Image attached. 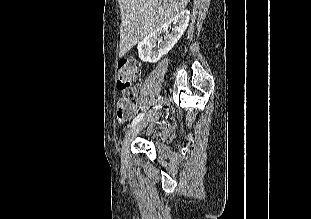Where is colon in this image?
<instances>
[{"mask_svg":"<svg viewBox=\"0 0 311 219\" xmlns=\"http://www.w3.org/2000/svg\"><path fill=\"white\" fill-rule=\"evenodd\" d=\"M117 69L118 89L122 93L121 109L123 114H127L137 100V92L132 83L140 76L141 66L134 58H122L118 61Z\"/></svg>","mask_w":311,"mask_h":219,"instance_id":"colon-1","label":"colon"}]
</instances>
